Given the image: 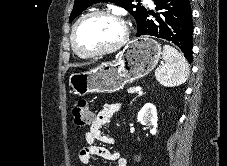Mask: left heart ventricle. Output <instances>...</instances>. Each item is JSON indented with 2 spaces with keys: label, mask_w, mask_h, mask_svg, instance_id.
<instances>
[{
  "label": "left heart ventricle",
  "mask_w": 227,
  "mask_h": 166,
  "mask_svg": "<svg viewBox=\"0 0 227 166\" xmlns=\"http://www.w3.org/2000/svg\"><path fill=\"white\" fill-rule=\"evenodd\" d=\"M122 37V26L107 16H93L83 21L76 31V43L84 51L103 49Z\"/></svg>",
  "instance_id": "left-heart-ventricle-1"
}]
</instances>
